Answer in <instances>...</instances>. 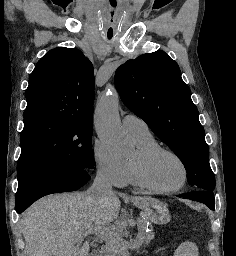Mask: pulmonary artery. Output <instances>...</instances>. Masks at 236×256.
<instances>
[{
  "label": "pulmonary artery",
  "mask_w": 236,
  "mask_h": 256,
  "mask_svg": "<svg viewBox=\"0 0 236 256\" xmlns=\"http://www.w3.org/2000/svg\"><path fill=\"white\" fill-rule=\"evenodd\" d=\"M122 125L126 133L131 137L138 138L150 135L147 124L134 114L124 116Z\"/></svg>",
  "instance_id": "obj_1"
}]
</instances>
